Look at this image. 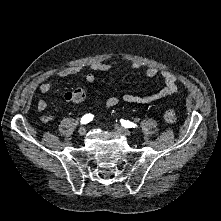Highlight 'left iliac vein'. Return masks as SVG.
I'll return each mask as SVG.
<instances>
[{
	"label": "left iliac vein",
	"instance_id": "obj_1",
	"mask_svg": "<svg viewBox=\"0 0 221 221\" xmlns=\"http://www.w3.org/2000/svg\"><path fill=\"white\" fill-rule=\"evenodd\" d=\"M115 129H116L117 132H119L120 134H122L124 136H130L131 135V132L128 129L123 128L121 126H116Z\"/></svg>",
	"mask_w": 221,
	"mask_h": 221
}]
</instances>
